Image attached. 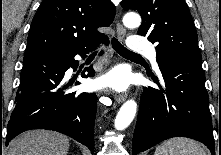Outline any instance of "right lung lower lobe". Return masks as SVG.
<instances>
[{
	"label": "right lung lower lobe",
	"instance_id": "obj_1",
	"mask_svg": "<svg viewBox=\"0 0 221 155\" xmlns=\"http://www.w3.org/2000/svg\"><path fill=\"white\" fill-rule=\"evenodd\" d=\"M98 44L76 52L45 49L24 54L16 106L7 127L6 146L24 131L48 129L68 135L94 152L96 95L68 92L66 89L73 81L66 83L63 78L68 68L78 65L75 55L85 56ZM86 71L87 76L83 72L82 77L94 75L92 67Z\"/></svg>",
	"mask_w": 221,
	"mask_h": 155
}]
</instances>
